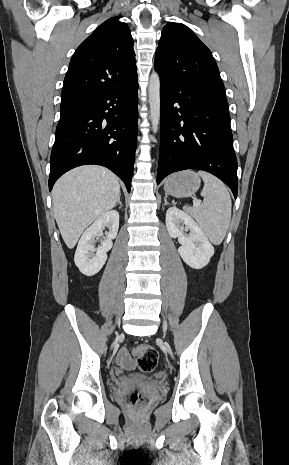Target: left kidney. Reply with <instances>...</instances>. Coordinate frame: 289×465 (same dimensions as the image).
Masks as SVG:
<instances>
[{
    "mask_svg": "<svg viewBox=\"0 0 289 465\" xmlns=\"http://www.w3.org/2000/svg\"><path fill=\"white\" fill-rule=\"evenodd\" d=\"M166 227L170 237L178 238V248L183 261L193 269L205 267L214 254V247L201 227L190 215L177 207H170L166 212ZM189 234H186L187 231Z\"/></svg>",
    "mask_w": 289,
    "mask_h": 465,
    "instance_id": "obj_1",
    "label": "left kidney"
}]
</instances>
